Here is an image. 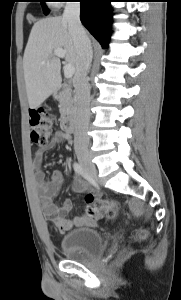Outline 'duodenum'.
<instances>
[{
  "label": "duodenum",
  "mask_w": 181,
  "mask_h": 300,
  "mask_svg": "<svg viewBox=\"0 0 181 300\" xmlns=\"http://www.w3.org/2000/svg\"><path fill=\"white\" fill-rule=\"evenodd\" d=\"M65 85L57 87L53 93L52 98L56 99L59 97L60 93L63 91ZM62 127L64 131L68 134H72L75 130V122L72 115H66L62 121Z\"/></svg>",
  "instance_id": "1"
}]
</instances>
